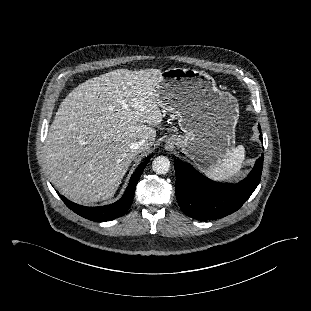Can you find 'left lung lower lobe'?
I'll use <instances>...</instances> for the list:
<instances>
[{
	"label": "left lung lower lobe",
	"instance_id": "1",
	"mask_svg": "<svg viewBox=\"0 0 311 311\" xmlns=\"http://www.w3.org/2000/svg\"><path fill=\"white\" fill-rule=\"evenodd\" d=\"M263 160L262 155L244 180L230 184L212 181L190 164L175 159V189L180 208L186 215L199 220L219 219L232 214L245 203L258 186Z\"/></svg>",
	"mask_w": 311,
	"mask_h": 311
}]
</instances>
